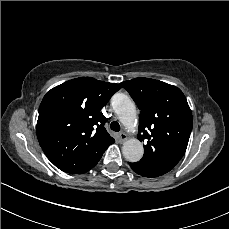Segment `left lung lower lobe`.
<instances>
[{"instance_id": "0a47b994", "label": "left lung lower lobe", "mask_w": 229, "mask_h": 229, "mask_svg": "<svg viewBox=\"0 0 229 229\" xmlns=\"http://www.w3.org/2000/svg\"><path fill=\"white\" fill-rule=\"evenodd\" d=\"M129 165L131 166L133 171L136 172L137 174H139L141 176H144V177H153L152 174L149 171L141 168L136 163H129Z\"/></svg>"}]
</instances>
